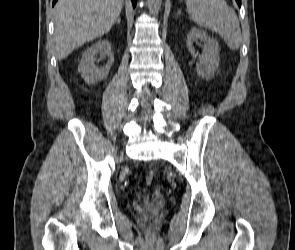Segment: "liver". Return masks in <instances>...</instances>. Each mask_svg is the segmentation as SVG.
<instances>
[{"instance_id": "liver-1", "label": "liver", "mask_w": 295, "mask_h": 250, "mask_svg": "<svg viewBox=\"0 0 295 250\" xmlns=\"http://www.w3.org/2000/svg\"><path fill=\"white\" fill-rule=\"evenodd\" d=\"M123 0H59L55 5L54 40L59 60L109 32Z\"/></svg>"}]
</instances>
